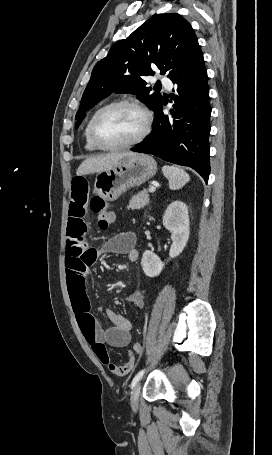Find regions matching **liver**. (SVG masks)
Here are the masks:
<instances>
[{
  "mask_svg": "<svg viewBox=\"0 0 272 455\" xmlns=\"http://www.w3.org/2000/svg\"><path fill=\"white\" fill-rule=\"evenodd\" d=\"M134 154L135 153L132 152L113 153L87 158L80 164L76 171V174L77 176H82L90 173H100L103 171H108L116 167L126 157L132 156Z\"/></svg>",
  "mask_w": 272,
  "mask_h": 455,
  "instance_id": "obj_1",
  "label": "liver"
}]
</instances>
